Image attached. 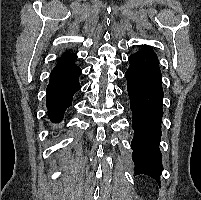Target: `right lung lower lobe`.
<instances>
[{"label": "right lung lower lobe", "instance_id": "1", "mask_svg": "<svg viewBox=\"0 0 201 200\" xmlns=\"http://www.w3.org/2000/svg\"><path fill=\"white\" fill-rule=\"evenodd\" d=\"M80 74L81 69L75 66L50 76L46 89V107L48 117L53 123L61 122L65 110L72 105L73 95L80 89Z\"/></svg>", "mask_w": 201, "mask_h": 200}]
</instances>
